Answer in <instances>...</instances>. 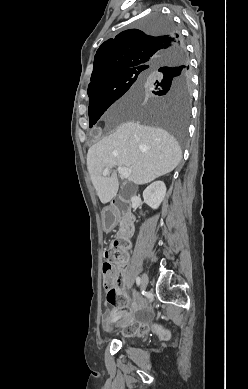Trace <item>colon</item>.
<instances>
[{
	"label": "colon",
	"instance_id": "colon-1",
	"mask_svg": "<svg viewBox=\"0 0 248 389\" xmlns=\"http://www.w3.org/2000/svg\"><path fill=\"white\" fill-rule=\"evenodd\" d=\"M106 260L103 263L102 270L104 276L103 289L106 292V299L110 304H117L118 302H124L119 299V288L122 285L123 272L121 264L126 258V247L123 243L114 241L111 246L105 252ZM119 312H128L130 307L128 305H119L117 307ZM143 328L147 327L146 323L142 324ZM142 331L141 324L136 323L134 325L123 326V333H140ZM154 332L158 331L157 327L153 328Z\"/></svg>",
	"mask_w": 248,
	"mask_h": 389
}]
</instances>
